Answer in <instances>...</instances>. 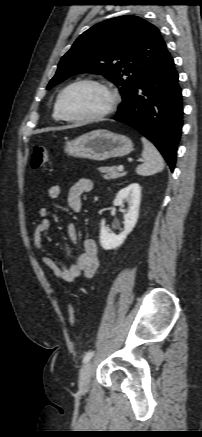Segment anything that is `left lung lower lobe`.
<instances>
[{"label": "left lung lower lobe", "mask_w": 202, "mask_h": 437, "mask_svg": "<svg viewBox=\"0 0 202 437\" xmlns=\"http://www.w3.org/2000/svg\"><path fill=\"white\" fill-rule=\"evenodd\" d=\"M114 119L151 140L173 171L183 126V103L178 74L168 51L119 107Z\"/></svg>", "instance_id": "obj_1"}]
</instances>
